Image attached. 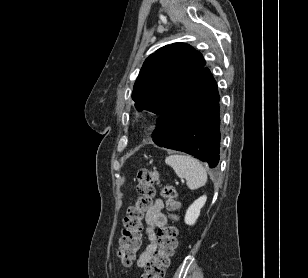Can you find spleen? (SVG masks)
<instances>
[{
  "label": "spleen",
  "mask_w": 308,
  "mask_h": 278,
  "mask_svg": "<svg viewBox=\"0 0 308 278\" xmlns=\"http://www.w3.org/2000/svg\"><path fill=\"white\" fill-rule=\"evenodd\" d=\"M165 163L173 168L176 175L185 178L191 190L204 186L207 182V173L202 164L189 155L172 154L165 159Z\"/></svg>",
  "instance_id": "spleen-1"
}]
</instances>
